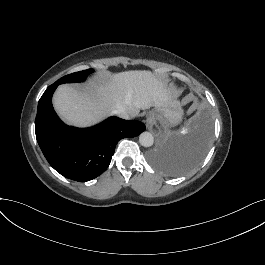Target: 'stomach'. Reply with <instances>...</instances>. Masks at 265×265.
Returning a JSON list of instances; mask_svg holds the SVG:
<instances>
[{
	"mask_svg": "<svg viewBox=\"0 0 265 265\" xmlns=\"http://www.w3.org/2000/svg\"><path fill=\"white\" fill-rule=\"evenodd\" d=\"M155 120H159L164 127H172L179 124L183 117V111L179 105L165 109L156 108L151 112Z\"/></svg>",
	"mask_w": 265,
	"mask_h": 265,
	"instance_id": "0dacf381",
	"label": "stomach"
}]
</instances>
